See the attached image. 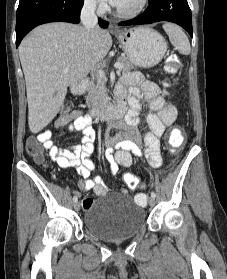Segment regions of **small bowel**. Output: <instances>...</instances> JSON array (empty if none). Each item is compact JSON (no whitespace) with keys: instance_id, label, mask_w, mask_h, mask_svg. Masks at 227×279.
Masks as SVG:
<instances>
[{"instance_id":"1","label":"small bowel","mask_w":227,"mask_h":279,"mask_svg":"<svg viewBox=\"0 0 227 279\" xmlns=\"http://www.w3.org/2000/svg\"><path fill=\"white\" fill-rule=\"evenodd\" d=\"M120 102L128 100L129 111L124 120L119 124V132L115 136L107 138L109 147L105 152V158L110 165L112 174H115L119 167L127 168L132 163V154L142 156L140 151L141 143L145 145L144 157L153 167L162 164L160 152V137L174 124L177 117L176 107L166 99L165 93L160 87L143 78L136 73L126 74L116 88ZM143 97L150 112L144 120L143 133L139 130L142 123L140 116L141 104L139 98ZM67 127L68 131L80 130L83 132L80 142L64 149L57 147L51 140L52 131L45 130L30 141H39L43 144L48 155L62 168H75L81 179L78 186L81 190H94L103 196L106 194V186L100 176L92 177L95 164L91 159L94 150L96 132L92 127V120L89 116L83 115L80 110H74L54 120V128ZM111 126L105 128L108 134ZM94 205V199L85 198L82 206L89 210Z\"/></svg>"}]
</instances>
